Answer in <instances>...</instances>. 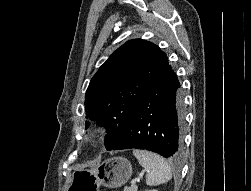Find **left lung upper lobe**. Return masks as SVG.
<instances>
[{
  "mask_svg": "<svg viewBox=\"0 0 251 191\" xmlns=\"http://www.w3.org/2000/svg\"><path fill=\"white\" fill-rule=\"evenodd\" d=\"M167 66L168 58L157 45L133 39L119 47L93 76L85 95L86 118L106 127L107 150Z\"/></svg>",
  "mask_w": 251,
  "mask_h": 191,
  "instance_id": "obj_1",
  "label": "left lung upper lobe"
}]
</instances>
